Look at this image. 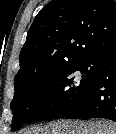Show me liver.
<instances>
[{
    "mask_svg": "<svg viewBox=\"0 0 116 134\" xmlns=\"http://www.w3.org/2000/svg\"><path fill=\"white\" fill-rule=\"evenodd\" d=\"M23 134H116V125L110 122L60 121L45 127L27 130Z\"/></svg>",
    "mask_w": 116,
    "mask_h": 134,
    "instance_id": "liver-1",
    "label": "liver"
}]
</instances>
